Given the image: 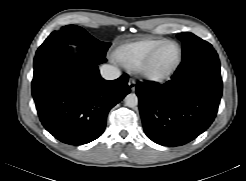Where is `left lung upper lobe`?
<instances>
[{
  "label": "left lung upper lobe",
  "instance_id": "5c2ea615",
  "mask_svg": "<svg viewBox=\"0 0 246 181\" xmlns=\"http://www.w3.org/2000/svg\"><path fill=\"white\" fill-rule=\"evenodd\" d=\"M182 41V57L192 55L196 52L212 48L211 44L200 39L190 32H183L177 35Z\"/></svg>",
  "mask_w": 246,
  "mask_h": 181
}]
</instances>
